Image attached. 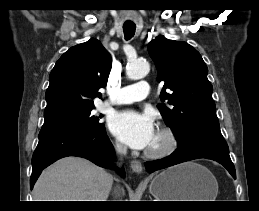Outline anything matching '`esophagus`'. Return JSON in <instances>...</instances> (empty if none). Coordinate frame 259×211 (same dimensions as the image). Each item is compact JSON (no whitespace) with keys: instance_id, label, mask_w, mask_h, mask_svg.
I'll use <instances>...</instances> for the list:
<instances>
[{"instance_id":"1","label":"esophagus","mask_w":259,"mask_h":211,"mask_svg":"<svg viewBox=\"0 0 259 211\" xmlns=\"http://www.w3.org/2000/svg\"><path fill=\"white\" fill-rule=\"evenodd\" d=\"M131 169L137 173V174H141L143 167L140 161L134 160L131 162Z\"/></svg>"}]
</instances>
